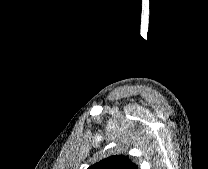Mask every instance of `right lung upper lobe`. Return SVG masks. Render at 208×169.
<instances>
[{"instance_id": "cb5924a9", "label": "right lung upper lobe", "mask_w": 208, "mask_h": 169, "mask_svg": "<svg viewBox=\"0 0 208 169\" xmlns=\"http://www.w3.org/2000/svg\"><path fill=\"white\" fill-rule=\"evenodd\" d=\"M88 169H138L131 160L124 155H113L105 158Z\"/></svg>"}]
</instances>
